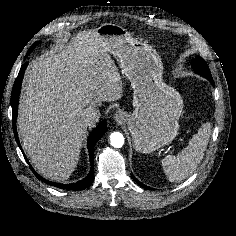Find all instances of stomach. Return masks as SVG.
Listing matches in <instances>:
<instances>
[{"label":"stomach","instance_id":"1","mask_svg":"<svg viewBox=\"0 0 236 236\" xmlns=\"http://www.w3.org/2000/svg\"><path fill=\"white\" fill-rule=\"evenodd\" d=\"M97 32L107 52L118 57L133 88L134 111L125 116L134 148L150 153L170 144L178 133L183 100L163 82L159 54L120 25L105 23Z\"/></svg>","mask_w":236,"mask_h":236}]
</instances>
